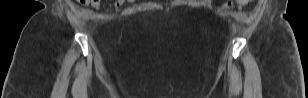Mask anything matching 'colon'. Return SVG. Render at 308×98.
I'll return each instance as SVG.
<instances>
[{
	"instance_id": "1",
	"label": "colon",
	"mask_w": 308,
	"mask_h": 98,
	"mask_svg": "<svg viewBox=\"0 0 308 98\" xmlns=\"http://www.w3.org/2000/svg\"><path fill=\"white\" fill-rule=\"evenodd\" d=\"M88 0H83L82 1V3H86ZM249 0H237V1H235L236 3H238V4H246L247 2H248ZM226 8H231V7H233V2H228V3H226L225 5H224Z\"/></svg>"
}]
</instances>
